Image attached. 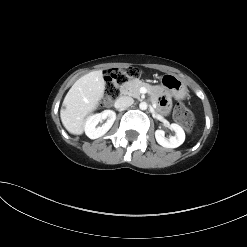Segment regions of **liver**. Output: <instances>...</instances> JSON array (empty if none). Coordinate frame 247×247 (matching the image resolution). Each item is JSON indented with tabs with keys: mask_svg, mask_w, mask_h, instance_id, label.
Wrapping results in <instances>:
<instances>
[{
	"mask_svg": "<svg viewBox=\"0 0 247 247\" xmlns=\"http://www.w3.org/2000/svg\"><path fill=\"white\" fill-rule=\"evenodd\" d=\"M105 91L102 70L92 71L79 78L66 94L60 111L64 127L75 135L84 131L85 119L99 105Z\"/></svg>",
	"mask_w": 247,
	"mask_h": 247,
	"instance_id": "1",
	"label": "liver"
}]
</instances>
